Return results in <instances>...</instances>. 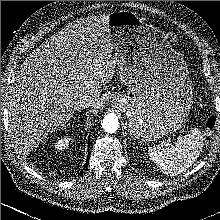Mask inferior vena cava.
<instances>
[{
	"label": "inferior vena cava",
	"mask_w": 220,
	"mask_h": 220,
	"mask_svg": "<svg viewBox=\"0 0 220 220\" xmlns=\"http://www.w3.org/2000/svg\"><path fill=\"white\" fill-rule=\"evenodd\" d=\"M94 103V98L91 95H82L78 100H77V109H83V108H88L92 106Z\"/></svg>",
	"instance_id": "602c4592"
}]
</instances>
